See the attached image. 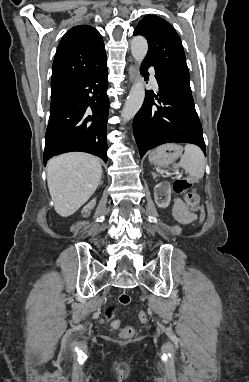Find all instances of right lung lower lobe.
Here are the masks:
<instances>
[{"label": "right lung lower lobe", "mask_w": 249, "mask_h": 382, "mask_svg": "<svg viewBox=\"0 0 249 382\" xmlns=\"http://www.w3.org/2000/svg\"><path fill=\"white\" fill-rule=\"evenodd\" d=\"M106 56L73 87L51 100L44 165L52 156L87 152L107 162L109 101Z\"/></svg>", "instance_id": "1"}]
</instances>
